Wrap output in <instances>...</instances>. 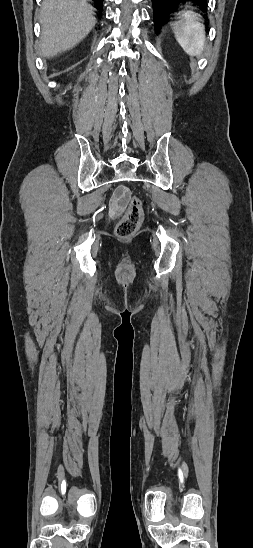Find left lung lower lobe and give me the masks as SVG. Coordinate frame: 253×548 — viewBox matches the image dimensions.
I'll list each match as a JSON object with an SVG mask.
<instances>
[{"label":"left lung lower lobe","instance_id":"obj_1","mask_svg":"<svg viewBox=\"0 0 253 548\" xmlns=\"http://www.w3.org/2000/svg\"><path fill=\"white\" fill-rule=\"evenodd\" d=\"M208 0H152L153 3V18L156 30H159L162 25L167 23L168 14L173 12L174 5L178 3L189 2L193 6L201 8L203 11L207 10Z\"/></svg>","mask_w":253,"mask_h":548}]
</instances>
